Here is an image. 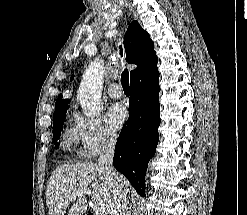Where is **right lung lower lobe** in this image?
Segmentation results:
<instances>
[{
  "mask_svg": "<svg viewBox=\"0 0 247 215\" xmlns=\"http://www.w3.org/2000/svg\"><path fill=\"white\" fill-rule=\"evenodd\" d=\"M156 58L131 78L129 118L117 139L114 167L145 196V174L156 151L160 125L159 72Z\"/></svg>",
  "mask_w": 247,
  "mask_h": 215,
  "instance_id": "98d812e1",
  "label": "right lung lower lobe"
}]
</instances>
